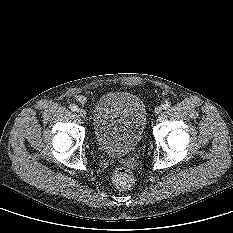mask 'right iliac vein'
Instances as JSON below:
<instances>
[{
	"mask_svg": "<svg viewBox=\"0 0 233 233\" xmlns=\"http://www.w3.org/2000/svg\"><path fill=\"white\" fill-rule=\"evenodd\" d=\"M77 113L82 118L86 117V111L84 109H82V108L78 109Z\"/></svg>",
	"mask_w": 233,
	"mask_h": 233,
	"instance_id": "obj_1",
	"label": "right iliac vein"
}]
</instances>
